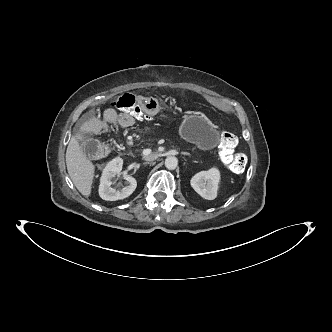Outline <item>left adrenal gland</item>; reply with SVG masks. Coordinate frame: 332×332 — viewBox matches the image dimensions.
<instances>
[{
	"instance_id": "left-adrenal-gland-1",
	"label": "left adrenal gland",
	"mask_w": 332,
	"mask_h": 332,
	"mask_svg": "<svg viewBox=\"0 0 332 332\" xmlns=\"http://www.w3.org/2000/svg\"><path fill=\"white\" fill-rule=\"evenodd\" d=\"M182 154H184V155H190L189 153H187V152H182Z\"/></svg>"
}]
</instances>
